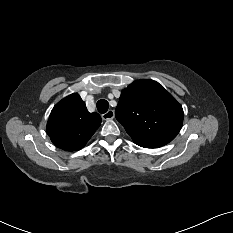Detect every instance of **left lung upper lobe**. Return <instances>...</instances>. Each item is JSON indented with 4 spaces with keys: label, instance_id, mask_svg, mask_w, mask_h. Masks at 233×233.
Returning a JSON list of instances; mask_svg holds the SVG:
<instances>
[{
    "label": "left lung upper lobe",
    "instance_id": "left-lung-upper-lobe-1",
    "mask_svg": "<svg viewBox=\"0 0 233 233\" xmlns=\"http://www.w3.org/2000/svg\"><path fill=\"white\" fill-rule=\"evenodd\" d=\"M115 116L134 143L144 148L166 145L183 123L182 106L153 80H137L124 89Z\"/></svg>",
    "mask_w": 233,
    "mask_h": 233
}]
</instances>
